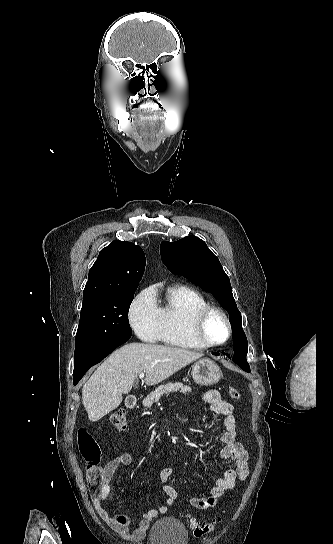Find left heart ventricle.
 <instances>
[{"label": "left heart ventricle", "mask_w": 333, "mask_h": 544, "mask_svg": "<svg viewBox=\"0 0 333 544\" xmlns=\"http://www.w3.org/2000/svg\"><path fill=\"white\" fill-rule=\"evenodd\" d=\"M206 335L213 342H221L227 337V327L224 320L217 314L209 317L206 324Z\"/></svg>", "instance_id": "obj_1"}]
</instances>
